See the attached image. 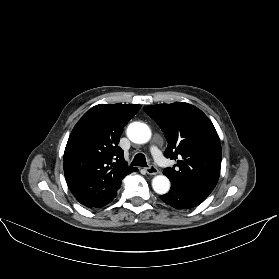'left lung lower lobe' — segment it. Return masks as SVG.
<instances>
[{"label": "left lung lower lobe", "mask_w": 279, "mask_h": 279, "mask_svg": "<svg viewBox=\"0 0 279 279\" xmlns=\"http://www.w3.org/2000/svg\"><path fill=\"white\" fill-rule=\"evenodd\" d=\"M160 198L177 209H189L202 203L207 196L199 194L195 191L171 184L170 191Z\"/></svg>", "instance_id": "obj_1"}]
</instances>
